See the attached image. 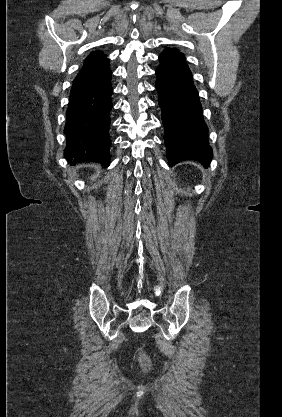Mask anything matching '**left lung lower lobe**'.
<instances>
[{
    "label": "left lung lower lobe",
    "instance_id": "obj_1",
    "mask_svg": "<svg viewBox=\"0 0 282 417\" xmlns=\"http://www.w3.org/2000/svg\"><path fill=\"white\" fill-rule=\"evenodd\" d=\"M156 90L162 110L169 166L195 160L207 167L212 159L208 128L192 74L184 55L166 49L159 56Z\"/></svg>",
    "mask_w": 282,
    "mask_h": 417
}]
</instances>
